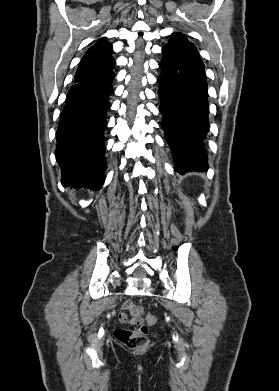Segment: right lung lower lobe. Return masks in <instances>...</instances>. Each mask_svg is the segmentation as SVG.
<instances>
[{
	"instance_id": "right-lung-lower-lobe-1",
	"label": "right lung lower lobe",
	"mask_w": 279,
	"mask_h": 391,
	"mask_svg": "<svg viewBox=\"0 0 279 391\" xmlns=\"http://www.w3.org/2000/svg\"><path fill=\"white\" fill-rule=\"evenodd\" d=\"M114 73L76 83L66 98L57 129L56 157L63 186L98 190L105 180L104 129Z\"/></svg>"
}]
</instances>
